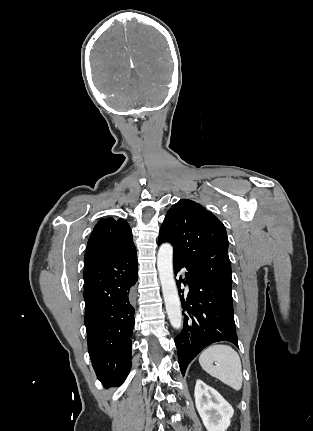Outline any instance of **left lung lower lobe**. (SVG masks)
Returning <instances> with one entry per match:
<instances>
[{"instance_id":"left-lung-lower-lobe-1","label":"left lung lower lobe","mask_w":313,"mask_h":431,"mask_svg":"<svg viewBox=\"0 0 313 431\" xmlns=\"http://www.w3.org/2000/svg\"><path fill=\"white\" fill-rule=\"evenodd\" d=\"M173 262L175 276L183 267L188 270L186 281L182 276L177 281L179 293L184 292L180 288L181 282L189 286L187 298L180 295L184 325L175 338L179 366L184 375L188 364L205 347L218 341H229L238 346V338L231 288L194 274L176 258Z\"/></svg>"}]
</instances>
